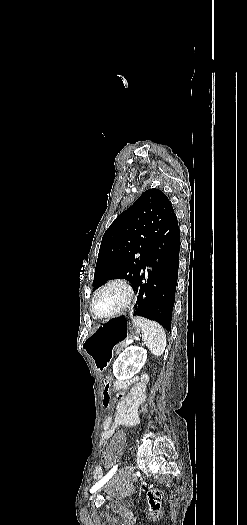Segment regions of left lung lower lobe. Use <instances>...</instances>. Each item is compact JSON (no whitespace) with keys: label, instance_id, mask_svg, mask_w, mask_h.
I'll use <instances>...</instances> for the list:
<instances>
[{"label":"left lung lower lobe","instance_id":"1","mask_svg":"<svg viewBox=\"0 0 247 525\" xmlns=\"http://www.w3.org/2000/svg\"><path fill=\"white\" fill-rule=\"evenodd\" d=\"M180 250V230L174 214L152 239L147 260L132 283L137 294L132 315L142 316L171 330ZM147 269V280L145 269Z\"/></svg>","mask_w":247,"mask_h":525}]
</instances>
